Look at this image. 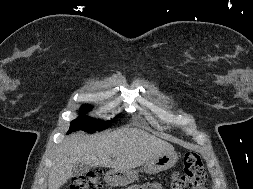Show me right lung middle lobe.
Masks as SVG:
<instances>
[{"instance_id":"1","label":"right lung middle lobe","mask_w":253,"mask_h":189,"mask_svg":"<svg viewBox=\"0 0 253 189\" xmlns=\"http://www.w3.org/2000/svg\"><path fill=\"white\" fill-rule=\"evenodd\" d=\"M90 106H82L81 113H85L89 111ZM109 121L101 122L99 120H95L89 117L80 116L77 119L73 120L70 126V130L68 133L77 131V130H84L87 132H94L95 130H104L108 128Z\"/></svg>"}]
</instances>
